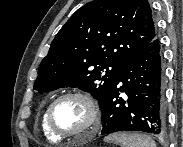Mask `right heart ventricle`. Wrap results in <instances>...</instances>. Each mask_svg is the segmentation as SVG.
<instances>
[{
  "instance_id": "1",
  "label": "right heart ventricle",
  "mask_w": 183,
  "mask_h": 147,
  "mask_svg": "<svg viewBox=\"0 0 183 147\" xmlns=\"http://www.w3.org/2000/svg\"><path fill=\"white\" fill-rule=\"evenodd\" d=\"M46 112L47 109L44 111L43 116H42V120H41V126H42V130L44 135L46 136L47 139H49L50 141H60L61 138L57 137L56 135H54L48 128L47 123H46Z\"/></svg>"
}]
</instances>
